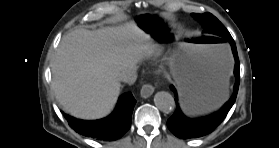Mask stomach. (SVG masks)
Masks as SVG:
<instances>
[{"label": "stomach", "mask_w": 279, "mask_h": 148, "mask_svg": "<svg viewBox=\"0 0 279 148\" xmlns=\"http://www.w3.org/2000/svg\"><path fill=\"white\" fill-rule=\"evenodd\" d=\"M134 24L138 32L159 46H170L174 41L179 44L172 68L188 114L210 112L226 99L222 90L228 80L231 58L224 39L215 35L184 36L164 15L150 10L138 13Z\"/></svg>", "instance_id": "0dacf381"}]
</instances>
